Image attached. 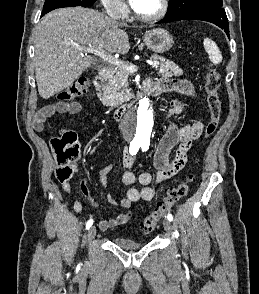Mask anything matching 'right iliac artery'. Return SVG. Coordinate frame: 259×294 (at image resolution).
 <instances>
[{"label":"right iliac artery","mask_w":259,"mask_h":294,"mask_svg":"<svg viewBox=\"0 0 259 294\" xmlns=\"http://www.w3.org/2000/svg\"><path fill=\"white\" fill-rule=\"evenodd\" d=\"M139 147H140L139 142H131L130 143V148H129L130 154L131 155H136V153L139 150ZM92 225H93V219L88 220L87 223H86V229H89Z\"/></svg>","instance_id":"1"}]
</instances>
